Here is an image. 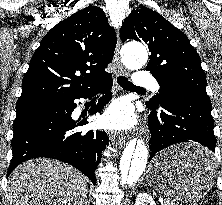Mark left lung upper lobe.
<instances>
[{"label": "left lung upper lobe", "instance_id": "left-lung-upper-lobe-1", "mask_svg": "<svg viewBox=\"0 0 222 205\" xmlns=\"http://www.w3.org/2000/svg\"><path fill=\"white\" fill-rule=\"evenodd\" d=\"M120 37L123 42L142 41L151 52L146 70L155 77L160 90L146 103L148 108L157 110L163 94L172 89L208 97L206 76L197 51L186 35L159 13L145 7L133 10L123 22Z\"/></svg>", "mask_w": 222, "mask_h": 205}]
</instances>
